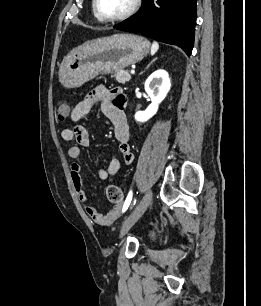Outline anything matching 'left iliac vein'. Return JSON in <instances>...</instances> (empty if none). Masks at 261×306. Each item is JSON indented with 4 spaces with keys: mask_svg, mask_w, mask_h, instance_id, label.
I'll list each match as a JSON object with an SVG mask.
<instances>
[{
    "mask_svg": "<svg viewBox=\"0 0 261 306\" xmlns=\"http://www.w3.org/2000/svg\"><path fill=\"white\" fill-rule=\"evenodd\" d=\"M152 191L148 190L141 201L138 203L134 211L125 219L120 236L123 237L129 229L138 221V219L144 214V212L147 210L148 206L150 205L152 201Z\"/></svg>",
    "mask_w": 261,
    "mask_h": 306,
    "instance_id": "obj_1",
    "label": "left iliac vein"
}]
</instances>
